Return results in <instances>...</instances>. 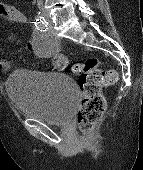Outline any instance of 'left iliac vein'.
<instances>
[{"label": "left iliac vein", "mask_w": 143, "mask_h": 170, "mask_svg": "<svg viewBox=\"0 0 143 170\" xmlns=\"http://www.w3.org/2000/svg\"><path fill=\"white\" fill-rule=\"evenodd\" d=\"M44 16H45V19H46V20L48 21V23L50 24V23H51L50 17H49L47 14H45Z\"/></svg>", "instance_id": "1"}]
</instances>
